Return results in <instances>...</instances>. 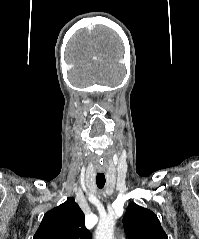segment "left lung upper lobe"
Returning a JSON list of instances; mask_svg holds the SVG:
<instances>
[{"mask_svg":"<svg viewBox=\"0 0 199 239\" xmlns=\"http://www.w3.org/2000/svg\"><path fill=\"white\" fill-rule=\"evenodd\" d=\"M123 226L129 239H168L157 216L135 203L128 205Z\"/></svg>","mask_w":199,"mask_h":239,"instance_id":"obj_1","label":"left lung upper lobe"}]
</instances>
